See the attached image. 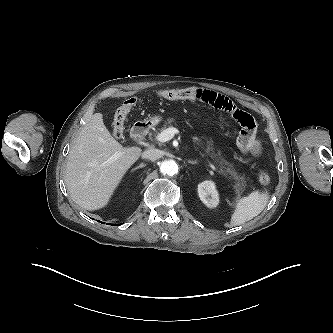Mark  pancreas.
I'll use <instances>...</instances> for the list:
<instances>
[{
    "label": "pancreas",
    "instance_id": "1",
    "mask_svg": "<svg viewBox=\"0 0 333 333\" xmlns=\"http://www.w3.org/2000/svg\"><path fill=\"white\" fill-rule=\"evenodd\" d=\"M170 122H166L163 127L161 128V131L166 130L168 127H170L169 125ZM158 134V132L156 131L155 135ZM153 135V133L149 134V137L155 136ZM193 141L198 145L201 146L203 145L201 140L198 137H193ZM198 149V147H197ZM206 155L210 156L212 158H216V161L220 164L221 166V172L224 174H230L233 179L235 180L234 185H233V189L235 190V193L240 196V194L245 190L246 187V181L245 178L243 176H240L237 174V172L235 171L234 167L232 164H230L229 162H227L224 158L218 157V155L214 152V148L212 146V143L210 141H207V146H206Z\"/></svg>",
    "mask_w": 333,
    "mask_h": 333
}]
</instances>
